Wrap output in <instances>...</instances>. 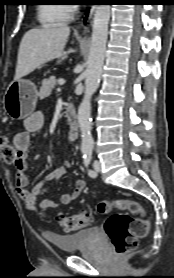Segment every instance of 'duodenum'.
Listing matches in <instances>:
<instances>
[{
  "label": "duodenum",
  "instance_id": "duodenum-1",
  "mask_svg": "<svg viewBox=\"0 0 174 278\" xmlns=\"http://www.w3.org/2000/svg\"><path fill=\"white\" fill-rule=\"evenodd\" d=\"M64 116L69 125V136L71 139H75L78 134V119L75 108L73 105L66 103L64 106Z\"/></svg>",
  "mask_w": 174,
  "mask_h": 278
}]
</instances>
